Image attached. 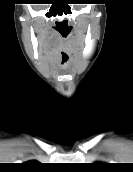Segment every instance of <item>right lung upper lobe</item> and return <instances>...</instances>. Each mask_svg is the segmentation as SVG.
<instances>
[{
	"label": "right lung upper lobe",
	"instance_id": "cb5924a9",
	"mask_svg": "<svg viewBox=\"0 0 133 172\" xmlns=\"http://www.w3.org/2000/svg\"><path fill=\"white\" fill-rule=\"evenodd\" d=\"M39 163L37 161H29L24 163L23 168L27 170L36 169Z\"/></svg>",
	"mask_w": 133,
	"mask_h": 172
}]
</instances>
